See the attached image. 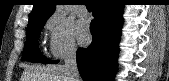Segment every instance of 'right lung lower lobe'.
Returning <instances> with one entry per match:
<instances>
[{
	"mask_svg": "<svg viewBox=\"0 0 169 81\" xmlns=\"http://www.w3.org/2000/svg\"><path fill=\"white\" fill-rule=\"evenodd\" d=\"M123 5L114 0H98L90 31L93 41L77 50L78 70L84 81H112L116 73ZM58 61H50L55 64Z\"/></svg>",
	"mask_w": 169,
	"mask_h": 81,
	"instance_id": "1",
	"label": "right lung lower lobe"
}]
</instances>
